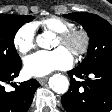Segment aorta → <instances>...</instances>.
<instances>
[{
	"instance_id": "762f6f07",
	"label": "aorta",
	"mask_w": 112,
	"mask_h": 112,
	"mask_svg": "<svg viewBox=\"0 0 112 112\" xmlns=\"http://www.w3.org/2000/svg\"><path fill=\"white\" fill-rule=\"evenodd\" d=\"M36 43L41 48H50L52 43V34L48 32L39 34L36 38ZM49 86L54 92L64 94L69 89V80L62 74H54L49 79Z\"/></svg>"
}]
</instances>
